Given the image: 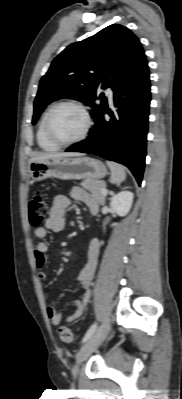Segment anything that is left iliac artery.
<instances>
[{"mask_svg":"<svg viewBox=\"0 0 182 399\" xmlns=\"http://www.w3.org/2000/svg\"><path fill=\"white\" fill-rule=\"evenodd\" d=\"M97 328V324L94 323L86 332V334L84 335L83 339H82V343H85L87 340H89V338L93 335V333L96 331Z\"/></svg>","mask_w":182,"mask_h":399,"instance_id":"obj_1","label":"left iliac artery"}]
</instances>
